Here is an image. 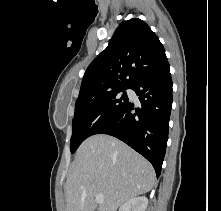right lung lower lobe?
Listing matches in <instances>:
<instances>
[{
	"mask_svg": "<svg viewBox=\"0 0 221 211\" xmlns=\"http://www.w3.org/2000/svg\"><path fill=\"white\" fill-rule=\"evenodd\" d=\"M129 88L139 96L141 108H135L134 103L128 101L97 134H108L128 144L152 163L159 177L172 108L169 66L141 77Z\"/></svg>",
	"mask_w": 221,
	"mask_h": 211,
	"instance_id": "98d812e1",
	"label": "right lung lower lobe"
}]
</instances>
